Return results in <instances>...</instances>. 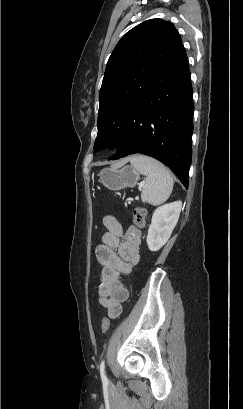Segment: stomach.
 <instances>
[{"label": "stomach", "mask_w": 243, "mask_h": 409, "mask_svg": "<svg viewBox=\"0 0 243 409\" xmlns=\"http://www.w3.org/2000/svg\"><path fill=\"white\" fill-rule=\"evenodd\" d=\"M98 176L99 182L110 190L132 188L139 180V172L133 166H125L124 163L103 168Z\"/></svg>", "instance_id": "1"}]
</instances>
